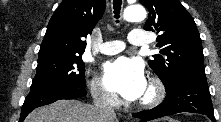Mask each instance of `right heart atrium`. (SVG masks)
I'll return each instance as SVG.
<instances>
[{"instance_id": "1", "label": "right heart atrium", "mask_w": 221, "mask_h": 122, "mask_svg": "<svg viewBox=\"0 0 221 122\" xmlns=\"http://www.w3.org/2000/svg\"><path fill=\"white\" fill-rule=\"evenodd\" d=\"M90 91L92 96L103 104L109 106H116L118 104L117 96L105 88L102 80L98 76H94L91 79Z\"/></svg>"}]
</instances>
